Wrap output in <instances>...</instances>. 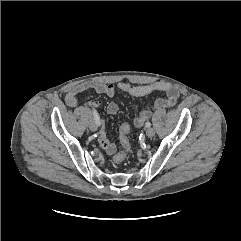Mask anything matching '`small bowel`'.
Wrapping results in <instances>:
<instances>
[{
    "instance_id": "small-bowel-1",
    "label": "small bowel",
    "mask_w": 241,
    "mask_h": 241,
    "mask_svg": "<svg viewBox=\"0 0 241 241\" xmlns=\"http://www.w3.org/2000/svg\"><path fill=\"white\" fill-rule=\"evenodd\" d=\"M88 89H93L95 92L107 95L109 97L114 96L116 89H119L122 92L134 97H142L156 92L165 93L166 96L164 98H158L153 103V108L155 109L169 108L175 105L179 98V92L177 89L167 82H155L145 85H133L127 82H118L116 85L99 82H84L70 88L65 96L66 104L72 108L77 107L79 105V94ZM89 105L93 108H97L100 106V102L91 101ZM118 110L119 106L114 101L108 103L106 107V111L109 115H115ZM150 115V109L142 110L134 120L135 126L137 128L142 127L144 123L150 118ZM98 141L102 149L107 154L111 155L116 151V145L107 138L104 129L100 130L98 134Z\"/></svg>"
}]
</instances>
